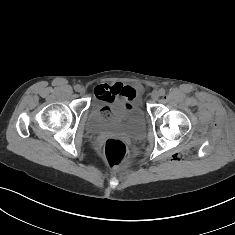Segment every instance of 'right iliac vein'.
I'll return each mask as SVG.
<instances>
[{
    "instance_id": "right-iliac-vein-1",
    "label": "right iliac vein",
    "mask_w": 235,
    "mask_h": 235,
    "mask_svg": "<svg viewBox=\"0 0 235 235\" xmlns=\"http://www.w3.org/2000/svg\"><path fill=\"white\" fill-rule=\"evenodd\" d=\"M85 91H86V90H85V88H84V87H80V89H79V91H78V92H79L80 94H84V93H85Z\"/></svg>"
}]
</instances>
